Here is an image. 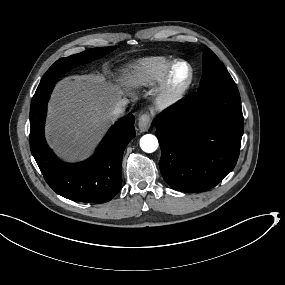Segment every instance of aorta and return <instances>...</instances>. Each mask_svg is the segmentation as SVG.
I'll use <instances>...</instances> for the list:
<instances>
[{"label": "aorta", "instance_id": "1", "mask_svg": "<svg viewBox=\"0 0 285 285\" xmlns=\"http://www.w3.org/2000/svg\"><path fill=\"white\" fill-rule=\"evenodd\" d=\"M140 147L144 152L152 153L158 148V140L152 134H146L140 139Z\"/></svg>", "mask_w": 285, "mask_h": 285}]
</instances>
